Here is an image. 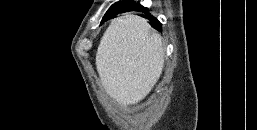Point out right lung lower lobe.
<instances>
[{"label":"right lung lower lobe","mask_w":257,"mask_h":130,"mask_svg":"<svg viewBox=\"0 0 257 130\" xmlns=\"http://www.w3.org/2000/svg\"><path fill=\"white\" fill-rule=\"evenodd\" d=\"M126 11H143V12H147L148 9L143 7V6H141L140 4H136V3L126 4V5L122 6V7H119L118 9H116L115 11H113L111 13H107L104 16L103 21L109 19L111 17V15H113V14H117L118 12H126ZM150 17L152 18L150 24L153 27L161 30L162 25L160 24V22L157 19H155L154 17H152L151 15H150Z\"/></svg>","instance_id":"98d812e1"}]
</instances>
